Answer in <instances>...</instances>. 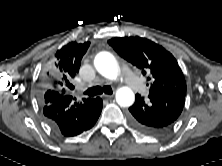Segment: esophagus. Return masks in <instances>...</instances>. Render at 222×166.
<instances>
[{
    "mask_svg": "<svg viewBox=\"0 0 222 166\" xmlns=\"http://www.w3.org/2000/svg\"><path fill=\"white\" fill-rule=\"evenodd\" d=\"M103 97L106 99H111V98H113V94L112 95H103Z\"/></svg>",
    "mask_w": 222,
    "mask_h": 166,
    "instance_id": "esophagus-1",
    "label": "esophagus"
}]
</instances>
